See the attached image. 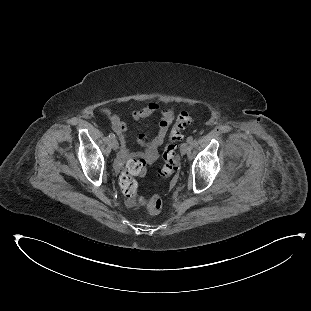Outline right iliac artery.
I'll use <instances>...</instances> for the list:
<instances>
[{
  "label": "right iliac artery",
  "mask_w": 311,
  "mask_h": 311,
  "mask_svg": "<svg viewBox=\"0 0 311 311\" xmlns=\"http://www.w3.org/2000/svg\"><path fill=\"white\" fill-rule=\"evenodd\" d=\"M109 138H110V139H115V134H114V133H110V134H109Z\"/></svg>",
  "instance_id": "obj_1"
}]
</instances>
